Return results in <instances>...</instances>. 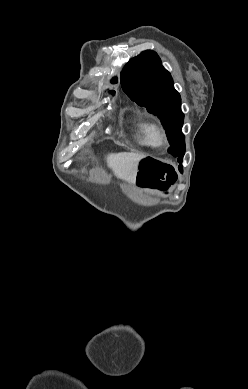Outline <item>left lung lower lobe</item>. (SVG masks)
<instances>
[{
	"label": "left lung lower lobe",
	"instance_id": "1",
	"mask_svg": "<svg viewBox=\"0 0 248 389\" xmlns=\"http://www.w3.org/2000/svg\"><path fill=\"white\" fill-rule=\"evenodd\" d=\"M179 170H180V172H182V171H183V169H182V165H179Z\"/></svg>",
	"mask_w": 248,
	"mask_h": 389
}]
</instances>
